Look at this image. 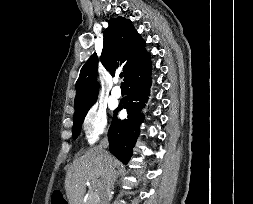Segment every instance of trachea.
Instances as JSON below:
<instances>
[{"instance_id":"1","label":"trachea","mask_w":253,"mask_h":204,"mask_svg":"<svg viewBox=\"0 0 253 204\" xmlns=\"http://www.w3.org/2000/svg\"><path fill=\"white\" fill-rule=\"evenodd\" d=\"M120 77H121V78L123 77V73H120ZM121 85H124V83H122Z\"/></svg>"}]
</instances>
